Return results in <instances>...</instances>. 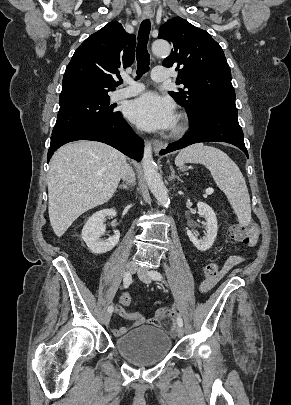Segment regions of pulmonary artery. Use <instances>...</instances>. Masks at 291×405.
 Masks as SVG:
<instances>
[{
    "instance_id": "pulmonary-artery-1",
    "label": "pulmonary artery",
    "mask_w": 291,
    "mask_h": 405,
    "mask_svg": "<svg viewBox=\"0 0 291 405\" xmlns=\"http://www.w3.org/2000/svg\"><path fill=\"white\" fill-rule=\"evenodd\" d=\"M152 79L155 82H163L168 79V72L164 68H155L152 72ZM144 90V85L138 82H134L132 80H126L125 85L116 90L112 98L113 100H121L125 98H129L141 93Z\"/></svg>"
}]
</instances>
